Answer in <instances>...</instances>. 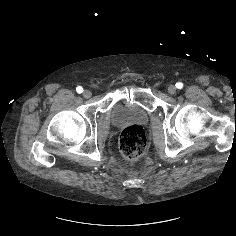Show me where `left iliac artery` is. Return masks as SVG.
Returning a JSON list of instances; mask_svg holds the SVG:
<instances>
[{"label": "left iliac artery", "mask_w": 236, "mask_h": 236, "mask_svg": "<svg viewBox=\"0 0 236 236\" xmlns=\"http://www.w3.org/2000/svg\"><path fill=\"white\" fill-rule=\"evenodd\" d=\"M176 87H177L178 89H182V88H183V83L177 82V83H176Z\"/></svg>", "instance_id": "44dca946"}]
</instances>
